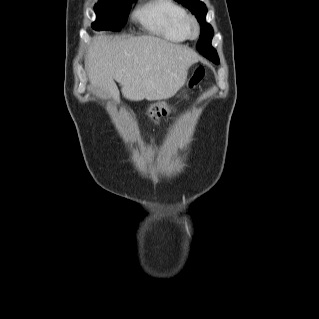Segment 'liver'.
<instances>
[{
  "label": "liver",
  "instance_id": "liver-1",
  "mask_svg": "<svg viewBox=\"0 0 319 319\" xmlns=\"http://www.w3.org/2000/svg\"><path fill=\"white\" fill-rule=\"evenodd\" d=\"M196 62L193 50L159 37L98 34L88 48L85 67L91 86L119 103L115 81L131 101L168 99L184 86L188 69Z\"/></svg>",
  "mask_w": 319,
  "mask_h": 319
}]
</instances>
